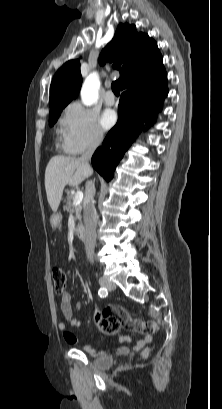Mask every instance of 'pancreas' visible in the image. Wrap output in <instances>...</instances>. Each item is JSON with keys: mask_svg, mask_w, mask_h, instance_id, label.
Here are the masks:
<instances>
[{"mask_svg": "<svg viewBox=\"0 0 222 409\" xmlns=\"http://www.w3.org/2000/svg\"><path fill=\"white\" fill-rule=\"evenodd\" d=\"M67 198H66V209L69 212H74L75 213V220H78V226L81 225L82 223V216H81V211H82V206L79 205H74L73 200H74V194H72V190H67ZM78 229H76V232Z\"/></svg>", "mask_w": 222, "mask_h": 409, "instance_id": "cf45deb5", "label": "pancreas"}]
</instances>
